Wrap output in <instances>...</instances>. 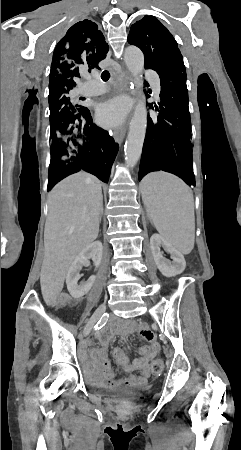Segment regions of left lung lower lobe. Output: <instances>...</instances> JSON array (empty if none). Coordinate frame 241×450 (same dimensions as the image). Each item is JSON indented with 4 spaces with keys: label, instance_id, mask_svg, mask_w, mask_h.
<instances>
[{
    "label": "left lung lower lobe",
    "instance_id": "obj_1",
    "mask_svg": "<svg viewBox=\"0 0 241 450\" xmlns=\"http://www.w3.org/2000/svg\"><path fill=\"white\" fill-rule=\"evenodd\" d=\"M160 76V109L157 120L148 116L147 132L139 169V180L153 171H167L195 186L190 143L186 70L182 60L145 65ZM153 107L152 104H150Z\"/></svg>",
    "mask_w": 241,
    "mask_h": 450
}]
</instances>
